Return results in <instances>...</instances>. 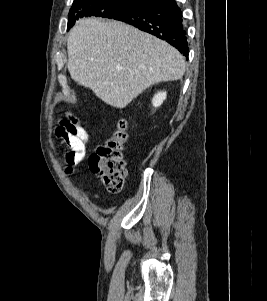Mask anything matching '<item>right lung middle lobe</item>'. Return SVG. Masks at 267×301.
<instances>
[{
	"instance_id": "obj_1",
	"label": "right lung middle lobe",
	"mask_w": 267,
	"mask_h": 301,
	"mask_svg": "<svg viewBox=\"0 0 267 301\" xmlns=\"http://www.w3.org/2000/svg\"><path fill=\"white\" fill-rule=\"evenodd\" d=\"M147 5L144 0H74L69 12L68 28L82 17L114 18Z\"/></svg>"
}]
</instances>
